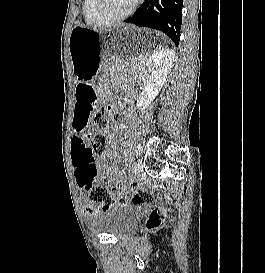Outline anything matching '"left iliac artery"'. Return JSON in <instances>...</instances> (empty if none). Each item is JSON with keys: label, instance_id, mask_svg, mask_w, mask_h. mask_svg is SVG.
Listing matches in <instances>:
<instances>
[{"label": "left iliac artery", "instance_id": "obj_1", "mask_svg": "<svg viewBox=\"0 0 265 273\" xmlns=\"http://www.w3.org/2000/svg\"><path fill=\"white\" fill-rule=\"evenodd\" d=\"M140 152H141V148H140V146H137L136 154L138 155V154H140Z\"/></svg>", "mask_w": 265, "mask_h": 273}]
</instances>
